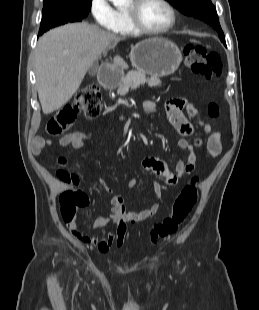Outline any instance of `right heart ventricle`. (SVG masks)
<instances>
[{
  "label": "right heart ventricle",
  "mask_w": 259,
  "mask_h": 310,
  "mask_svg": "<svg viewBox=\"0 0 259 310\" xmlns=\"http://www.w3.org/2000/svg\"><path fill=\"white\" fill-rule=\"evenodd\" d=\"M116 15H117V26L114 29V31L121 35L133 34L134 31L132 30L128 22L125 10H122V9L117 10Z\"/></svg>",
  "instance_id": "e07e8e85"
}]
</instances>
